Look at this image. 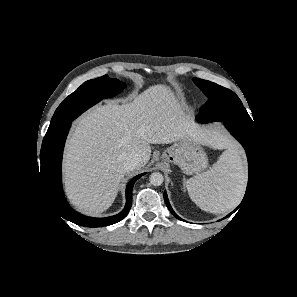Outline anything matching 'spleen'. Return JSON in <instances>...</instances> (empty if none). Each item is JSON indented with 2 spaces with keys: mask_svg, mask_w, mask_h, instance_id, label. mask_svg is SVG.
I'll return each mask as SVG.
<instances>
[{
  "mask_svg": "<svg viewBox=\"0 0 297 297\" xmlns=\"http://www.w3.org/2000/svg\"><path fill=\"white\" fill-rule=\"evenodd\" d=\"M245 183L241 152L236 147H230L209 170L188 179L186 187L190 198L202 210L221 213L238 205Z\"/></svg>",
  "mask_w": 297,
  "mask_h": 297,
  "instance_id": "3e777b00",
  "label": "spleen"
}]
</instances>
